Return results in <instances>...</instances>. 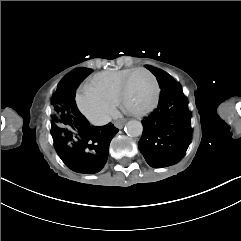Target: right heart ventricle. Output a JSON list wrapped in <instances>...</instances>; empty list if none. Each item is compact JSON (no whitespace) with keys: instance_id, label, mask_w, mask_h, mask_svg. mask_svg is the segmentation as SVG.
<instances>
[{"instance_id":"e07e8e85","label":"right heart ventricle","mask_w":241,"mask_h":241,"mask_svg":"<svg viewBox=\"0 0 241 241\" xmlns=\"http://www.w3.org/2000/svg\"><path fill=\"white\" fill-rule=\"evenodd\" d=\"M129 70L131 69L102 71L89 77L83 83V85H86V84L96 85L97 87L100 88L102 93L110 95L114 103H117V101L119 100L118 83L119 81H121V79L124 78V76Z\"/></svg>"}]
</instances>
